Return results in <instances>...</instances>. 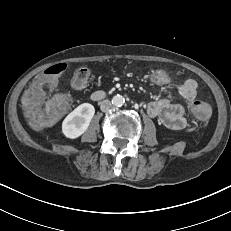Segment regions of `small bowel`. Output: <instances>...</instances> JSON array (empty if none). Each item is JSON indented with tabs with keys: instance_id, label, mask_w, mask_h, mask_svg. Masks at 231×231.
I'll use <instances>...</instances> for the list:
<instances>
[{
	"instance_id": "obj_1",
	"label": "small bowel",
	"mask_w": 231,
	"mask_h": 231,
	"mask_svg": "<svg viewBox=\"0 0 231 231\" xmlns=\"http://www.w3.org/2000/svg\"><path fill=\"white\" fill-rule=\"evenodd\" d=\"M175 94L186 101L194 100L197 95L196 81H185L175 89ZM147 113L150 117L157 118L168 129L180 130L186 126L184 107L174 103L172 95L151 101L147 106Z\"/></svg>"
}]
</instances>
